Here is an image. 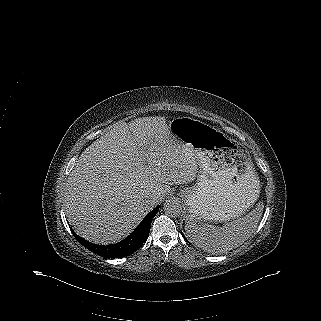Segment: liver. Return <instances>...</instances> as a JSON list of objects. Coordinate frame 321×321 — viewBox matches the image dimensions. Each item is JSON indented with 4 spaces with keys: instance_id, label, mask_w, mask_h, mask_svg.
I'll return each mask as SVG.
<instances>
[{
    "instance_id": "liver-1",
    "label": "liver",
    "mask_w": 321,
    "mask_h": 321,
    "mask_svg": "<svg viewBox=\"0 0 321 321\" xmlns=\"http://www.w3.org/2000/svg\"><path fill=\"white\" fill-rule=\"evenodd\" d=\"M171 137L165 118L143 117L117 123L86 148L64 192L65 213L79 236L116 243L163 200L170 185L195 180V156Z\"/></svg>"
}]
</instances>
